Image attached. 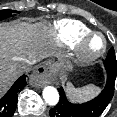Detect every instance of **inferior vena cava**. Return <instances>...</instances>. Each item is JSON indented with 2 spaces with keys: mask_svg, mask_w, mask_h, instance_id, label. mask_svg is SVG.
Returning <instances> with one entry per match:
<instances>
[{
  "mask_svg": "<svg viewBox=\"0 0 117 117\" xmlns=\"http://www.w3.org/2000/svg\"><path fill=\"white\" fill-rule=\"evenodd\" d=\"M34 63H25L20 66L21 72H28Z\"/></svg>",
  "mask_w": 117,
  "mask_h": 117,
  "instance_id": "inferior-vena-cava-1",
  "label": "inferior vena cava"
}]
</instances>
